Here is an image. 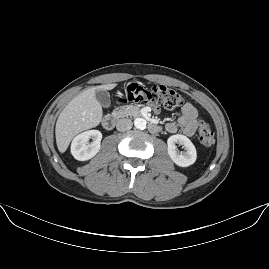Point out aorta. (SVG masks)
<instances>
[{
  "mask_svg": "<svg viewBox=\"0 0 269 269\" xmlns=\"http://www.w3.org/2000/svg\"><path fill=\"white\" fill-rule=\"evenodd\" d=\"M134 125H135V127L138 128V129H143V128L146 127V120L143 119V118H136V119L134 120Z\"/></svg>",
  "mask_w": 269,
  "mask_h": 269,
  "instance_id": "aorta-1",
  "label": "aorta"
}]
</instances>
